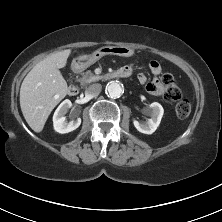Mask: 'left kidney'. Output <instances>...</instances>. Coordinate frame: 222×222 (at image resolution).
I'll return each mask as SVG.
<instances>
[{
    "label": "left kidney",
    "instance_id": "left-kidney-1",
    "mask_svg": "<svg viewBox=\"0 0 222 222\" xmlns=\"http://www.w3.org/2000/svg\"><path fill=\"white\" fill-rule=\"evenodd\" d=\"M149 112L151 118L147 122L142 123L137 120L133 121L135 128L144 134H152L155 132L162 119L164 109L158 102H153L149 105Z\"/></svg>",
    "mask_w": 222,
    "mask_h": 222
}]
</instances>
